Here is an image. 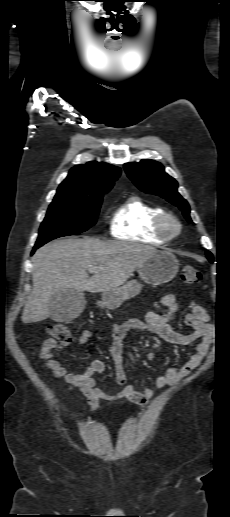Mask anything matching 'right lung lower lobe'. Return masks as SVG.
<instances>
[{
	"mask_svg": "<svg viewBox=\"0 0 230 517\" xmlns=\"http://www.w3.org/2000/svg\"><path fill=\"white\" fill-rule=\"evenodd\" d=\"M39 246L35 245L33 250H32V254L35 252V250L38 248Z\"/></svg>",
	"mask_w": 230,
	"mask_h": 517,
	"instance_id": "1",
	"label": "right lung lower lobe"
}]
</instances>
